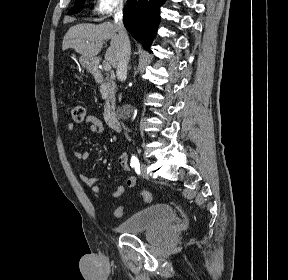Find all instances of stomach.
Listing matches in <instances>:
<instances>
[{
	"mask_svg": "<svg viewBox=\"0 0 288 280\" xmlns=\"http://www.w3.org/2000/svg\"><path fill=\"white\" fill-rule=\"evenodd\" d=\"M79 61H80V64L87 69L92 68L96 64L95 58L86 57V56H81Z\"/></svg>",
	"mask_w": 288,
	"mask_h": 280,
	"instance_id": "0dacf381",
	"label": "stomach"
}]
</instances>
